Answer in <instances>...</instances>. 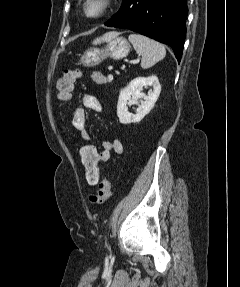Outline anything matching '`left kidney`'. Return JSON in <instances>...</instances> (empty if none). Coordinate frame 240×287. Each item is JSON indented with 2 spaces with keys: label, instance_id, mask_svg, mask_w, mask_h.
I'll use <instances>...</instances> for the list:
<instances>
[{
  "label": "left kidney",
  "instance_id": "1",
  "mask_svg": "<svg viewBox=\"0 0 240 287\" xmlns=\"http://www.w3.org/2000/svg\"><path fill=\"white\" fill-rule=\"evenodd\" d=\"M152 86L148 95L142 92L143 87ZM161 92V85L156 76L137 77L119 94L117 116L120 123L130 124L140 122L154 107ZM144 99V100H142ZM139 100L140 103L139 104ZM138 104L136 113H130L128 106Z\"/></svg>",
  "mask_w": 240,
  "mask_h": 287
}]
</instances>
